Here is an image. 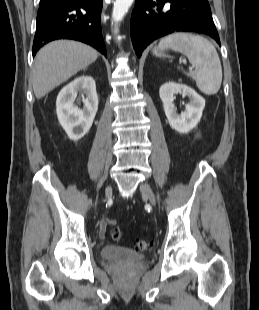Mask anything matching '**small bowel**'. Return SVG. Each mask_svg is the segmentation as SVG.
<instances>
[{"instance_id":"1","label":"small bowel","mask_w":259,"mask_h":310,"mask_svg":"<svg viewBox=\"0 0 259 310\" xmlns=\"http://www.w3.org/2000/svg\"><path fill=\"white\" fill-rule=\"evenodd\" d=\"M106 233V225L105 223H101L99 227V234L101 237H104Z\"/></svg>"}]
</instances>
